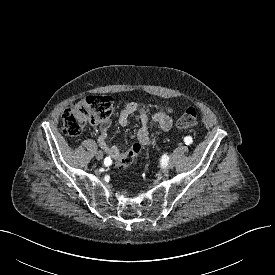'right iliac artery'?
<instances>
[{
    "label": "right iliac artery",
    "mask_w": 275,
    "mask_h": 275,
    "mask_svg": "<svg viewBox=\"0 0 275 275\" xmlns=\"http://www.w3.org/2000/svg\"><path fill=\"white\" fill-rule=\"evenodd\" d=\"M111 163H112L111 158L110 157H106L105 160H104V165L105 166H109V165H111Z\"/></svg>",
    "instance_id": "1"
}]
</instances>
